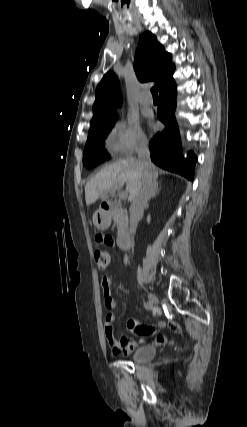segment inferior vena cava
I'll use <instances>...</instances> for the list:
<instances>
[{"label": "inferior vena cava", "mask_w": 247, "mask_h": 427, "mask_svg": "<svg viewBox=\"0 0 247 427\" xmlns=\"http://www.w3.org/2000/svg\"><path fill=\"white\" fill-rule=\"evenodd\" d=\"M138 162L142 168L141 186L132 199L130 205V230L131 235H135L139 220L143 216L144 208L153 196L157 186V176L153 172V164L150 159L148 141L142 140L138 146Z\"/></svg>", "instance_id": "1"}]
</instances>
